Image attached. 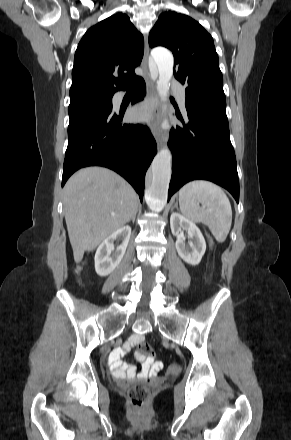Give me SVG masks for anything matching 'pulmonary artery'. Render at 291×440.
Wrapping results in <instances>:
<instances>
[{
    "instance_id": "obj_1",
    "label": "pulmonary artery",
    "mask_w": 291,
    "mask_h": 440,
    "mask_svg": "<svg viewBox=\"0 0 291 440\" xmlns=\"http://www.w3.org/2000/svg\"><path fill=\"white\" fill-rule=\"evenodd\" d=\"M172 91L174 92V94L176 95V97L178 98V101L180 102V105L182 107V109L184 110V100H185V89L182 85H180L177 82H172ZM120 98L118 97V100Z\"/></svg>"
}]
</instances>
